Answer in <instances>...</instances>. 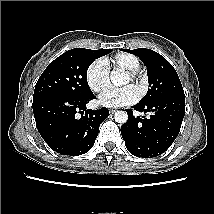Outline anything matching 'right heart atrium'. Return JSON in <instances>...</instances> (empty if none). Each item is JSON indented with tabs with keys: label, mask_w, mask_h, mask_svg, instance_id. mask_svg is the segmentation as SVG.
<instances>
[{
	"label": "right heart atrium",
	"mask_w": 214,
	"mask_h": 214,
	"mask_svg": "<svg viewBox=\"0 0 214 214\" xmlns=\"http://www.w3.org/2000/svg\"><path fill=\"white\" fill-rule=\"evenodd\" d=\"M89 88L96 93L103 92L109 85V68L103 59L90 63L85 73Z\"/></svg>",
	"instance_id": "1"
}]
</instances>
